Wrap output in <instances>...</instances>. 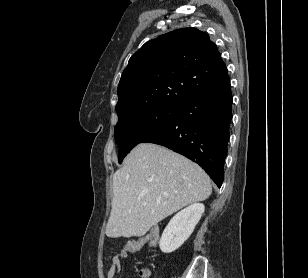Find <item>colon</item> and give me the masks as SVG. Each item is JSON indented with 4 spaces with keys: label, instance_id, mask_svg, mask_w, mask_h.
<instances>
[{
    "label": "colon",
    "instance_id": "5ec220e1",
    "mask_svg": "<svg viewBox=\"0 0 308 278\" xmlns=\"http://www.w3.org/2000/svg\"><path fill=\"white\" fill-rule=\"evenodd\" d=\"M165 235V232L161 230L160 227H153L152 231L150 232V235H148V244L149 247H158V237H163ZM138 240H127V243L121 244L122 250H127L128 253H139L141 247H143L144 242L143 240H139L140 238H137Z\"/></svg>",
    "mask_w": 308,
    "mask_h": 278
}]
</instances>
